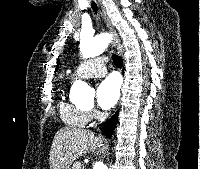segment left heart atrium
Returning <instances> with one entry per match:
<instances>
[{
  "label": "left heart atrium",
  "mask_w": 200,
  "mask_h": 169,
  "mask_svg": "<svg viewBox=\"0 0 200 169\" xmlns=\"http://www.w3.org/2000/svg\"><path fill=\"white\" fill-rule=\"evenodd\" d=\"M121 82L115 75L104 79L97 88L98 105L104 109H111L118 101L120 96Z\"/></svg>",
  "instance_id": "1"
}]
</instances>
